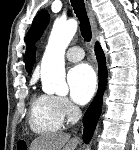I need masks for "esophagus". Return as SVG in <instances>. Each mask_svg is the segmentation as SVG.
I'll return each mask as SVG.
<instances>
[{"label":"esophagus","instance_id":"34e87169","mask_svg":"<svg viewBox=\"0 0 139 150\" xmlns=\"http://www.w3.org/2000/svg\"><path fill=\"white\" fill-rule=\"evenodd\" d=\"M85 8L88 14L89 22L91 25L92 29V41L95 43L96 41V34H97V25H96V20H95V14L93 12V9L91 7L90 0H84Z\"/></svg>","mask_w":139,"mask_h":150}]
</instances>
